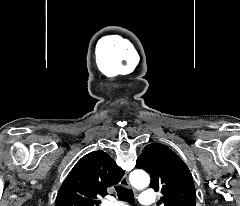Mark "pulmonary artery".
Segmentation results:
<instances>
[{"mask_svg": "<svg viewBox=\"0 0 240 206\" xmlns=\"http://www.w3.org/2000/svg\"><path fill=\"white\" fill-rule=\"evenodd\" d=\"M154 201H155V196L153 191L146 190L140 194V197H139L140 204L151 205L154 203ZM108 206H126V205L123 203L116 202V203H110Z\"/></svg>", "mask_w": 240, "mask_h": 206, "instance_id": "obj_1", "label": "pulmonary artery"}]
</instances>
